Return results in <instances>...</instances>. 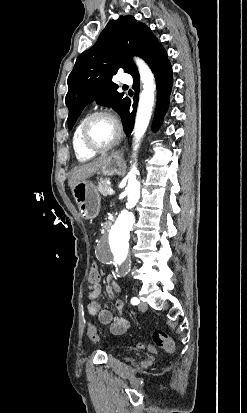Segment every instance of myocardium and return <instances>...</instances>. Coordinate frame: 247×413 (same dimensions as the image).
<instances>
[{
    "label": "myocardium",
    "mask_w": 247,
    "mask_h": 413,
    "mask_svg": "<svg viewBox=\"0 0 247 413\" xmlns=\"http://www.w3.org/2000/svg\"><path fill=\"white\" fill-rule=\"evenodd\" d=\"M102 117H104V118H109L110 115H109V113H108L107 111H105V110H98V111L92 113V114L84 121V123H83V125H82V127H81L79 139H80V143H81L82 147H83L86 151L95 152V153H104V152H107V151L111 150V149L114 148L115 146H117V145L120 143V141H121V138H122V130H121V128H120L118 125H116V126H117V134H116V136L114 137V139H113L112 141H110L109 143L104 144V145H95V144H92V143H90V142L88 141L87 131H88L89 126L91 125V123H92L94 120H96V119H98V118H102Z\"/></svg>",
    "instance_id": "myocardium-1"
}]
</instances>
